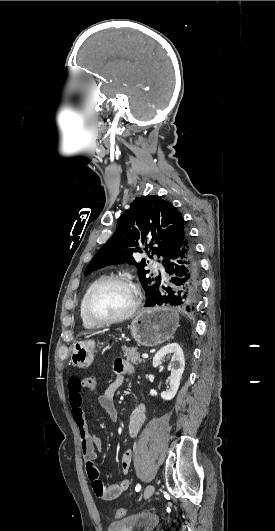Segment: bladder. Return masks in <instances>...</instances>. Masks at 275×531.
<instances>
[{
  "instance_id": "1",
  "label": "bladder",
  "mask_w": 275,
  "mask_h": 531,
  "mask_svg": "<svg viewBox=\"0 0 275 531\" xmlns=\"http://www.w3.org/2000/svg\"><path fill=\"white\" fill-rule=\"evenodd\" d=\"M159 519L154 514L129 515L109 523L108 531H154Z\"/></svg>"
}]
</instances>
